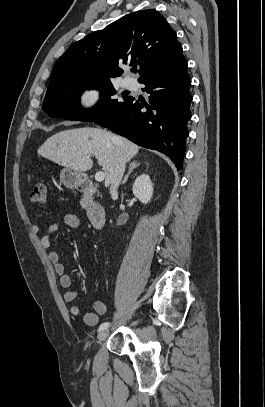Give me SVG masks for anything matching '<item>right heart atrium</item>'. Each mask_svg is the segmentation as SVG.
<instances>
[{
  "mask_svg": "<svg viewBox=\"0 0 265 407\" xmlns=\"http://www.w3.org/2000/svg\"><path fill=\"white\" fill-rule=\"evenodd\" d=\"M103 99L104 92L100 87L88 85L78 92L76 104L80 112L84 114H93L100 108Z\"/></svg>",
  "mask_w": 265,
  "mask_h": 407,
  "instance_id": "right-heart-atrium-1",
  "label": "right heart atrium"
}]
</instances>
